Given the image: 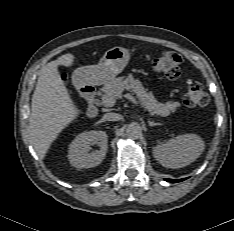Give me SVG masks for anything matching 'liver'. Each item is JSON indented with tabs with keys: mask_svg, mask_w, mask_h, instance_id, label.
Returning a JSON list of instances; mask_svg holds the SVG:
<instances>
[{
	"mask_svg": "<svg viewBox=\"0 0 234 231\" xmlns=\"http://www.w3.org/2000/svg\"><path fill=\"white\" fill-rule=\"evenodd\" d=\"M70 53L49 62L40 70L32 96L29 117L31 143L40 158H44L52 142L80 114L59 72L58 66H72Z\"/></svg>",
	"mask_w": 234,
	"mask_h": 231,
	"instance_id": "1",
	"label": "liver"
}]
</instances>
